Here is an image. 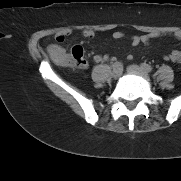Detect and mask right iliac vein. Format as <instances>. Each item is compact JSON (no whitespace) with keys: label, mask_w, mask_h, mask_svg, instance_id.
<instances>
[{"label":"right iliac vein","mask_w":181,"mask_h":181,"mask_svg":"<svg viewBox=\"0 0 181 181\" xmlns=\"http://www.w3.org/2000/svg\"><path fill=\"white\" fill-rule=\"evenodd\" d=\"M120 73H121V69L119 68V67H115L114 69H113V76L116 78V77H118L119 75H120Z\"/></svg>","instance_id":"1"}]
</instances>
